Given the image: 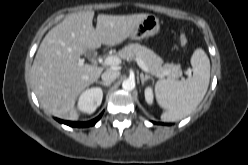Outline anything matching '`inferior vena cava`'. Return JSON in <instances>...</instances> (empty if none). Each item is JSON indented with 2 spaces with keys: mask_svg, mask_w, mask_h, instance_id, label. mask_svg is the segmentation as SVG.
Returning a JSON list of instances; mask_svg holds the SVG:
<instances>
[{
  "mask_svg": "<svg viewBox=\"0 0 248 165\" xmlns=\"http://www.w3.org/2000/svg\"><path fill=\"white\" fill-rule=\"evenodd\" d=\"M120 75L119 71L114 69H107L101 76L103 82L112 83Z\"/></svg>",
  "mask_w": 248,
  "mask_h": 165,
  "instance_id": "obj_1",
  "label": "inferior vena cava"
}]
</instances>
